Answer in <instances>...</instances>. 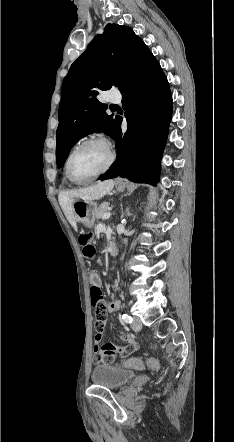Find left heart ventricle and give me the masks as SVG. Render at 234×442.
Listing matches in <instances>:
<instances>
[{
    "label": "left heart ventricle",
    "instance_id": "left-heart-ventricle-1",
    "mask_svg": "<svg viewBox=\"0 0 234 442\" xmlns=\"http://www.w3.org/2000/svg\"><path fill=\"white\" fill-rule=\"evenodd\" d=\"M109 158L102 144H90L79 149L71 159V172L78 179L88 178L100 171Z\"/></svg>",
    "mask_w": 234,
    "mask_h": 442
}]
</instances>
